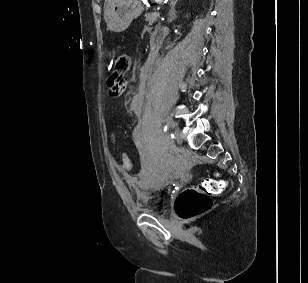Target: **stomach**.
<instances>
[{
  "mask_svg": "<svg viewBox=\"0 0 308 283\" xmlns=\"http://www.w3.org/2000/svg\"><path fill=\"white\" fill-rule=\"evenodd\" d=\"M154 1L160 3L163 0ZM143 10L141 0H115L106 7L104 20L109 30L119 33L126 30Z\"/></svg>",
  "mask_w": 308,
  "mask_h": 283,
  "instance_id": "0dacf381",
  "label": "stomach"
}]
</instances>
